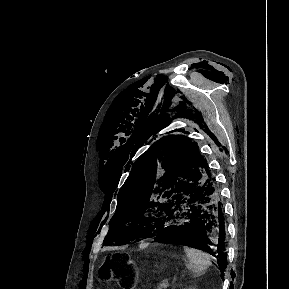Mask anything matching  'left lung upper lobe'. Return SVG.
<instances>
[{"label": "left lung upper lobe", "instance_id": "1", "mask_svg": "<svg viewBox=\"0 0 289 289\" xmlns=\"http://www.w3.org/2000/svg\"><path fill=\"white\" fill-rule=\"evenodd\" d=\"M209 173L198 145L185 136L170 135L154 143L135 162L118 194L104 244L118 246L146 237L162 224L180 189Z\"/></svg>", "mask_w": 289, "mask_h": 289}]
</instances>
